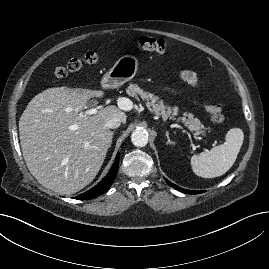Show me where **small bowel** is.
I'll return each instance as SVG.
<instances>
[{"label": "small bowel", "mask_w": 269, "mask_h": 269, "mask_svg": "<svg viewBox=\"0 0 269 269\" xmlns=\"http://www.w3.org/2000/svg\"><path fill=\"white\" fill-rule=\"evenodd\" d=\"M182 82L192 87H197L200 83L197 74L191 70H184L179 75Z\"/></svg>", "instance_id": "obj_1"}]
</instances>
